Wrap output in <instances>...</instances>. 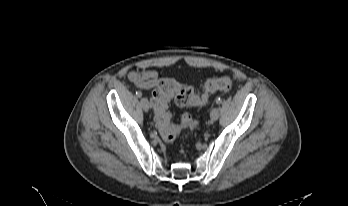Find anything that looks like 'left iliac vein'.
Masks as SVG:
<instances>
[{
  "label": "left iliac vein",
  "instance_id": "4c4485c4",
  "mask_svg": "<svg viewBox=\"0 0 348 206\" xmlns=\"http://www.w3.org/2000/svg\"><path fill=\"white\" fill-rule=\"evenodd\" d=\"M210 118L212 121H216L219 118L218 108H216V107L212 108V110L210 112Z\"/></svg>",
  "mask_w": 348,
  "mask_h": 206
}]
</instances>
